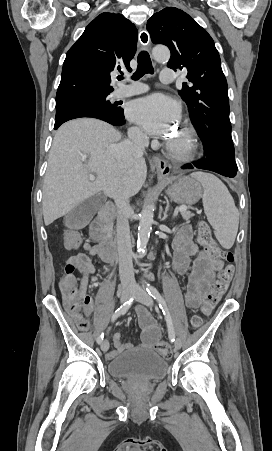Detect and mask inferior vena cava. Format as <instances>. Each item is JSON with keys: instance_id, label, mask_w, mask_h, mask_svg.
<instances>
[{"instance_id": "inferior-vena-cava-1", "label": "inferior vena cava", "mask_w": 272, "mask_h": 451, "mask_svg": "<svg viewBox=\"0 0 272 451\" xmlns=\"http://www.w3.org/2000/svg\"><path fill=\"white\" fill-rule=\"evenodd\" d=\"M129 142H121L116 150V160L121 168H129L130 164L142 158L145 148L149 146V138L141 130H132L128 134ZM117 208V245L119 255V273L122 285L135 287L134 269L132 263V245L130 239L127 212L130 210L129 198L123 188L116 194Z\"/></svg>"}]
</instances>
